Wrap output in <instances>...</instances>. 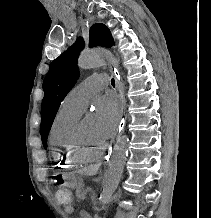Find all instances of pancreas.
<instances>
[{
  "label": "pancreas",
  "instance_id": "pancreas-1",
  "mask_svg": "<svg viewBox=\"0 0 211 218\" xmlns=\"http://www.w3.org/2000/svg\"><path fill=\"white\" fill-rule=\"evenodd\" d=\"M76 196H77V198H80V200H84V198L86 196V192H85V190H83L82 186H78V188L76 190Z\"/></svg>",
  "mask_w": 211,
  "mask_h": 218
}]
</instances>
